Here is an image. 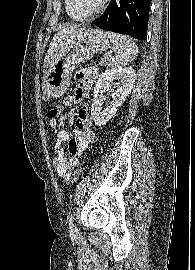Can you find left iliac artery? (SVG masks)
I'll return each mask as SVG.
<instances>
[{"label":"left iliac artery","mask_w":195,"mask_h":270,"mask_svg":"<svg viewBox=\"0 0 195 270\" xmlns=\"http://www.w3.org/2000/svg\"><path fill=\"white\" fill-rule=\"evenodd\" d=\"M68 220H69L70 229L72 230L73 229V214L69 216Z\"/></svg>","instance_id":"obj_1"}]
</instances>
